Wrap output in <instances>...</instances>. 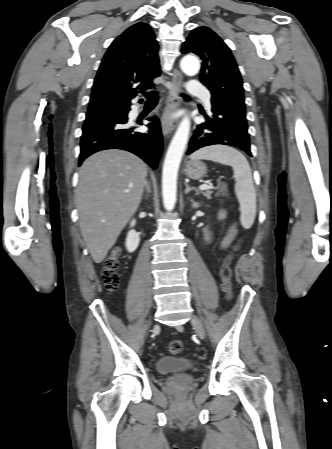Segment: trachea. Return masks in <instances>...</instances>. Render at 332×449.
I'll return each mask as SVG.
<instances>
[{"label":"trachea","mask_w":332,"mask_h":449,"mask_svg":"<svg viewBox=\"0 0 332 449\" xmlns=\"http://www.w3.org/2000/svg\"><path fill=\"white\" fill-rule=\"evenodd\" d=\"M184 98H189L187 95L182 94ZM146 98L149 102H157L158 101V95L156 92H150L146 94Z\"/></svg>","instance_id":"3493384b"}]
</instances>
